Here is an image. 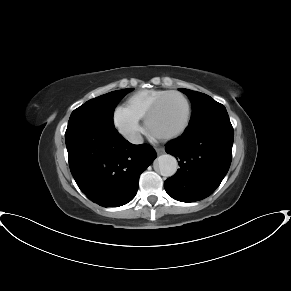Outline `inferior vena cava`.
<instances>
[{"label": "inferior vena cava", "instance_id": "obj_1", "mask_svg": "<svg viewBox=\"0 0 291 291\" xmlns=\"http://www.w3.org/2000/svg\"><path fill=\"white\" fill-rule=\"evenodd\" d=\"M128 140H129L131 143H133V144H141V143H143V139H142L141 135L136 134V133L131 134V135L129 136Z\"/></svg>", "mask_w": 291, "mask_h": 291}]
</instances>
